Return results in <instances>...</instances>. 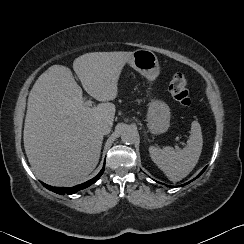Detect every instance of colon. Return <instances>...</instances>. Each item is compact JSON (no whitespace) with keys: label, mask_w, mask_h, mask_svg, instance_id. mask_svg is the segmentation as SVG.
<instances>
[{"label":"colon","mask_w":244,"mask_h":244,"mask_svg":"<svg viewBox=\"0 0 244 244\" xmlns=\"http://www.w3.org/2000/svg\"><path fill=\"white\" fill-rule=\"evenodd\" d=\"M169 92L172 97L182 106L188 107L192 99L188 90V80L182 73L175 74L169 83Z\"/></svg>","instance_id":"colon-1"}]
</instances>
